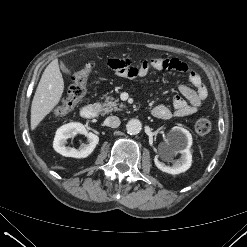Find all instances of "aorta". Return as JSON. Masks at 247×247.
Returning <instances> with one entry per match:
<instances>
[{"instance_id":"aorta-1","label":"aorta","mask_w":247,"mask_h":247,"mask_svg":"<svg viewBox=\"0 0 247 247\" xmlns=\"http://www.w3.org/2000/svg\"><path fill=\"white\" fill-rule=\"evenodd\" d=\"M142 123L138 119H131L126 125L127 133L130 135H137L141 132Z\"/></svg>"}]
</instances>
